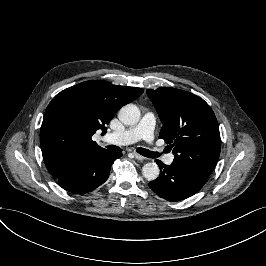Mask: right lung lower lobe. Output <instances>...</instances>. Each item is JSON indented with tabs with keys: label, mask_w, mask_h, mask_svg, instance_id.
<instances>
[{
	"label": "right lung lower lobe",
	"mask_w": 266,
	"mask_h": 266,
	"mask_svg": "<svg viewBox=\"0 0 266 266\" xmlns=\"http://www.w3.org/2000/svg\"><path fill=\"white\" fill-rule=\"evenodd\" d=\"M121 156L122 153L104 149L75 157L67 163L56 179L68 192H90L107 180L112 163Z\"/></svg>",
	"instance_id": "obj_1"
}]
</instances>
